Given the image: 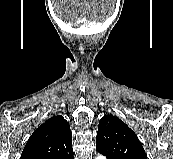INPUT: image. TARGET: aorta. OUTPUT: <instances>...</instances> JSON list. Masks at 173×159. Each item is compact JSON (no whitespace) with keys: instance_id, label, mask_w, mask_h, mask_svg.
Segmentation results:
<instances>
[{"instance_id":"1","label":"aorta","mask_w":173,"mask_h":159,"mask_svg":"<svg viewBox=\"0 0 173 159\" xmlns=\"http://www.w3.org/2000/svg\"><path fill=\"white\" fill-rule=\"evenodd\" d=\"M95 159H106V158L103 155H98V156H96Z\"/></svg>"}]
</instances>
